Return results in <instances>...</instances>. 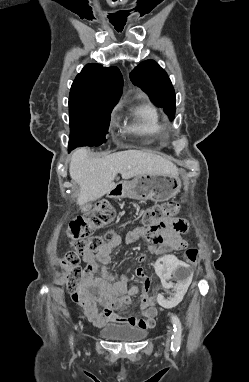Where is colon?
<instances>
[{
    "mask_svg": "<svg viewBox=\"0 0 249 382\" xmlns=\"http://www.w3.org/2000/svg\"><path fill=\"white\" fill-rule=\"evenodd\" d=\"M183 204V200H172L149 206L142 211L141 222L147 227H152L163 218L179 212ZM110 217L111 208L109 204L101 203L89 213L76 217L70 224L68 237L72 249L62 256L61 266L67 272L66 286L75 301H79L81 298L79 289L85 275V269L80 266V256L98 251L105 242L101 236H94L89 239H86V237L93 230L105 225L110 220ZM111 236L112 232L106 235L107 238ZM184 257L189 262H195L198 257L197 249L187 248L184 251ZM135 281L145 282L144 290H148V276L142 269L136 270Z\"/></svg>",
    "mask_w": 249,
    "mask_h": 382,
    "instance_id": "1",
    "label": "colon"
}]
</instances>
